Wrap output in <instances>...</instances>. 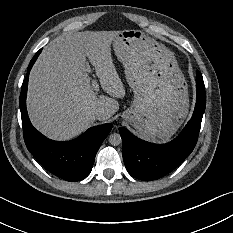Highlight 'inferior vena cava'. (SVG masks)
<instances>
[{"instance_id": "obj_1", "label": "inferior vena cava", "mask_w": 233, "mask_h": 233, "mask_svg": "<svg viewBox=\"0 0 233 233\" xmlns=\"http://www.w3.org/2000/svg\"><path fill=\"white\" fill-rule=\"evenodd\" d=\"M104 109L101 108V109H96L95 112L93 113V117L94 119H99L101 118L103 115H104Z\"/></svg>"}]
</instances>
